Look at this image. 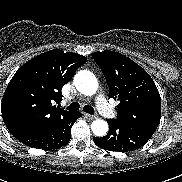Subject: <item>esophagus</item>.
Returning a JSON list of instances; mask_svg holds the SVG:
<instances>
[{
  "label": "esophagus",
  "mask_w": 182,
  "mask_h": 182,
  "mask_svg": "<svg viewBox=\"0 0 182 182\" xmlns=\"http://www.w3.org/2000/svg\"><path fill=\"white\" fill-rule=\"evenodd\" d=\"M85 117L88 119V120H94L97 118L96 115H90V114H85Z\"/></svg>",
  "instance_id": "34e87169"
}]
</instances>
